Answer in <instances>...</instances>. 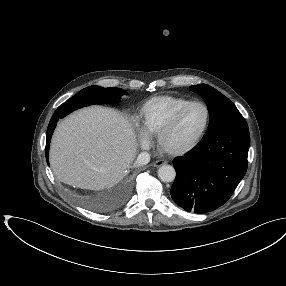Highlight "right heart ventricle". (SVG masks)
Here are the masks:
<instances>
[{
  "instance_id": "e07e8e85",
  "label": "right heart ventricle",
  "mask_w": 286,
  "mask_h": 286,
  "mask_svg": "<svg viewBox=\"0 0 286 286\" xmlns=\"http://www.w3.org/2000/svg\"><path fill=\"white\" fill-rule=\"evenodd\" d=\"M192 100L176 96H155L141 107V126L148 135H157L160 129L183 106Z\"/></svg>"
}]
</instances>
